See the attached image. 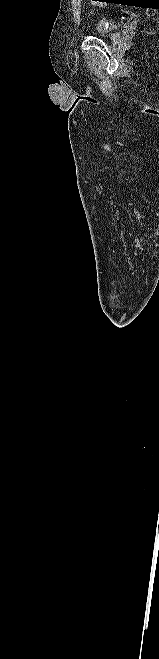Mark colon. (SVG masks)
<instances>
[{
    "label": "colon",
    "instance_id": "5ec220e1",
    "mask_svg": "<svg viewBox=\"0 0 159 659\" xmlns=\"http://www.w3.org/2000/svg\"><path fill=\"white\" fill-rule=\"evenodd\" d=\"M90 1H91V2H94V1H96V0H90Z\"/></svg>",
    "mask_w": 159,
    "mask_h": 659
}]
</instances>
